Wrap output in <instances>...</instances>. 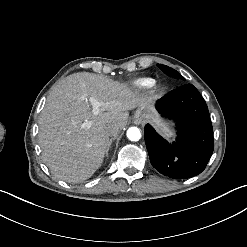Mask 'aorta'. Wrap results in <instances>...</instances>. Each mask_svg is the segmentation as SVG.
Segmentation results:
<instances>
[{
  "instance_id": "obj_1",
  "label": "aorta",
  "mask_w": 247,
  "mask_h": 247,
  "mask_svg": "<svg viewBox=\"0 0 247 247\" xmlns=\"http://www.w3.org/2000/svg\"><path fill=\"white\" fill-rule=\"evenodd\" d=\"M126 135L131 141H138L141 138V132L137 127L129 128Z\"/></svg>"
}]
</instances>
